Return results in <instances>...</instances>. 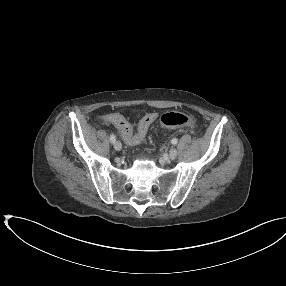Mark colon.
I'll return each mask as SVG.
<instances>
[{
    "instance_id": "obj_1",
    "label": "colon",
    "mask_w": 286,
    "mask_h": 286,
    "mask_svg": "<svg viewBox=\"0 0 286 286\" xmlns=\"http://www.w3.org/2000/svg\"><path fill=\"white\" fill-rule=\"evenodd\" d=\"M160 124L166 128H180L192 125L189 115L181 112H168L160 117ZM149 129L148 121H143L138 125L137 131L133 136L132 142L137 145L143 142Z\"/></svg>"
}]
</instances>
